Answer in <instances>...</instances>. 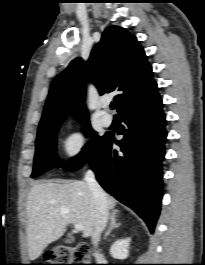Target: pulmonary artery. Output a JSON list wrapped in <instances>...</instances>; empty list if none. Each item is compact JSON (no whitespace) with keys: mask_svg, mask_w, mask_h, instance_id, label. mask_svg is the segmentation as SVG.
<instances>
[{"mask_svg":"<svg viewBox=\"0 0 205 265\" xmlns=\"http://www.w3.org/2000/svg\"><path fill=\"white\" fill-rule=\"evenodd\" d=\"M104 107H107V104ZM101 120L104 126H110L113 121L112 116L107 112H103Z\"/></svg>","mask_w":205,"mask_h":265,"instance_id":"e3ab8cb5","label":"pulmonary artery"}]
</instances>
